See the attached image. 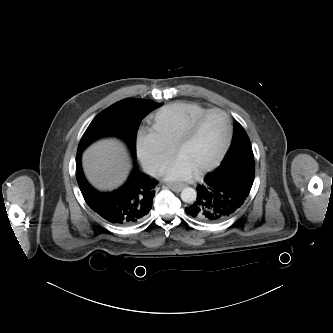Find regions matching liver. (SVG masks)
Here are the masks:
<instances>
[{
    "label": "liver",
    "mask_w": 333,
    "mask_h": 333,
    "mask_svg": "<svg viewBox=\"0 0 333 333\" xmlns=\"http://www.w3.org/2000/svg\"><path fill=\"white\" fill-rule=\"evenodd\" d=\"M89 182L100 190H111L121 184L130 163L123 145L115 140H103L89 147L82 157Z\"/></svg>",
    "instance_id": "obj_1"
}]
</instances>
